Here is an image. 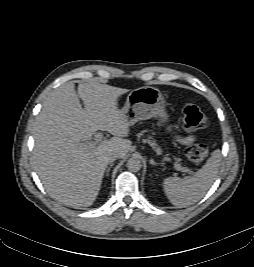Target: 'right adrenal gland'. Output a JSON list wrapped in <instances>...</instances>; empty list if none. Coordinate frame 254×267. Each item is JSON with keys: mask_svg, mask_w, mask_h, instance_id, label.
Instances as JSON below:
<instances>
[{"mask_svg": "<svg viewBox=\"0 0 254 267\" xmlns=\"http://www.w3.org/2000/svg\"><path fill=\"white\" fill-rule=\"evenodd\" d=\"M113 164H110L106 170V176H109L110 169L112 168Z\"/></svg>", "mask_w": 254, "mask_h": 267, "instance_id": "right-adrenal-gland-1", "label": "right adrenal gland"}]
</instances>
